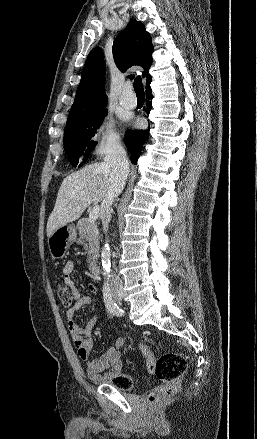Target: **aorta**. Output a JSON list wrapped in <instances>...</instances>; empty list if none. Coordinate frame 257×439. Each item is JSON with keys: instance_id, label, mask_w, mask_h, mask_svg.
Returning a JSON list of instances; mask_svg holds the SVG:
<instances>
[{"instance_id": "aorta-1", "label": "aorta", "mask_w": 257, "mask_h": 439, "mask_svg": "<svg viewBox=\"0 0 257 439\" xmlns=\"http://www.w3.org/2000/svg\"><path fill=\"white\" fill-rule=\"evenodd\" d=\"M101 264L103 270L102 274L105 279H108L111 273V251L108 241L105 243L101 251Z\"/></svg>"}]
</instances>
